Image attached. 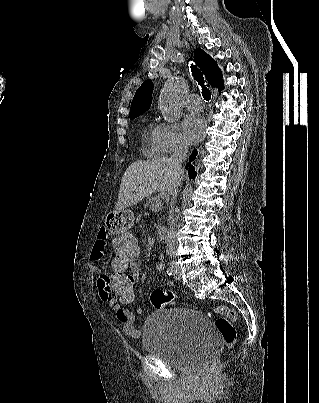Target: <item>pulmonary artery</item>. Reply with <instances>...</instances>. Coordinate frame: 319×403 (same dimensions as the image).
<instances>
[{"label": "pulmonary artery", "mask_w": 319, "mask_h": 403, "mask_svg": "<svg viewBox=\"0 0 319 403\" xmlns=\"http://www.w3.org/2000/svg\"><path fill=\"white\" fill-rule=\"evenodd\" d=\"M185 104L189 110L202 111L204 109V101L197 94H190L187 97Z\"/></svg>", "instance_id": "obj_1"}]
</instances>
